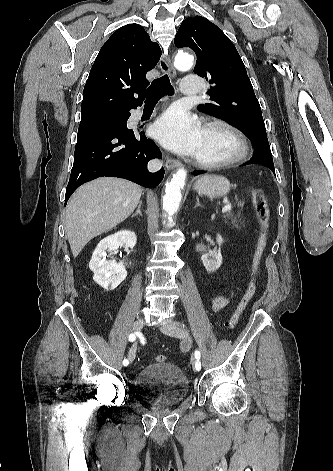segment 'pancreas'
I'll return each instance as SVG.
<instances>
[{
	"label": "pancreas",
	"mask_w": 333,
	"mask_h": 471,
	"mask_svg": "<svg viewBox=\"0 0 333 471\" xmlns=\"http://www.w3.org/2000/svg\"><path fill=\"white\" fill-rule=\"evenodd\" d=\"M239 216H240V215H234V214H232V213H229V214L226 215V218L231 219L232 225L235 226V227H238V224H237V223L240 221V220H239Z\"/></svg>",
	"instance_id": "obj_1"
}]
</instances>
